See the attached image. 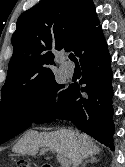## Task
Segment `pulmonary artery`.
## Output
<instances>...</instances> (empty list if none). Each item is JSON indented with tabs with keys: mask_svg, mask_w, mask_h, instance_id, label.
I'll use <instances>...</instances> for the list:
<instances>
[{
	"mask_svg": "<svg viewBox=\"0 0 125 167\" xmlns=\"http://www.w3.org/2000/svg\"><path fill=\"white\" fill-rule=\"evenodd\" d=\"M60 70L66 78H71L74 73L73 68H67L64 64H61Z\"/></svg>",
	"mask_w": 125,
	"mask_h": 167,
	"instance_id": "pulmonary-artery-1",
	"label": "pulmonary artery"
}]
</instances>
